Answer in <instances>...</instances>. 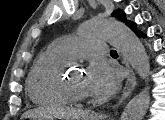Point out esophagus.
Instances as JSON below:
<instances>
[{
    "mask_svg": "<svg viewBox=\"0 0 165 120\" xmlns=\"http://www.w3.org/2000/svg\"><path fill=\"white\" fill-rule=\"evenodd\" d=\"M124 63L128 71V76L122 91L121 98L119 100V105L124 101V99L130 96L136 86V76L134 71L132 70L128 62L124 61Z\"/></svg>",
    "mask_w": 165,
    "mask_h": 120,
    "instance_id": "esophagus-1",
    "label": "esophagus"
}]
</instances>
